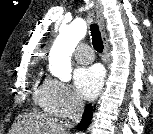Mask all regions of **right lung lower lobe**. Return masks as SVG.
<instances>
[{
	"label": "right lung lower lobe",
	"instance_id": "98d812e1",
	"mask_svg": "<svg viewBox=\"0 0 153 134\" xmlns=\"http://www.w3.org/2000/svg\"><path fill=\"white\" fill-rule=\"evenodd\" d=\"M92 110H93L92 106H89L86 108L84 115L82 117V120L80 121L78 125V129L84 130L88 127L92 118Z\"/></svg>",
	"mask_w": 153,
	"mask_h": 134
}]
</instances>
